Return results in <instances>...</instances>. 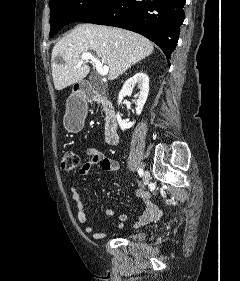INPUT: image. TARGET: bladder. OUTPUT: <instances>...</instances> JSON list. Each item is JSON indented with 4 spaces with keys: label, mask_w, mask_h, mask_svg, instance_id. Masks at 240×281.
I'll return each instance as SVG.
<instances>
[{
    "label": "bladder",
    "mask_w": 240,
    "mask_h": 281,
    "mask_svg": "<svg viewBox=\"0 0 240 281\" xmlns=\"http://www.w3.org/2000/svg\"><path fill=\"white\" fill-rule=\"evenodd\" d=\"M145 237V234L143 232L135 233L131 236V239L133 240H142Z\"/></svg>",
    "instance_id": "1"
}]
</instances>
